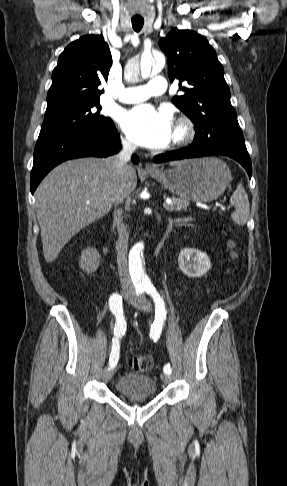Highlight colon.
<instances>
[{
	"mask_svg": "<svg viewBox=\"0 0 287 486\" xmlns=\"http://www.w3.org/2000/svg\"><path fill=\"white\" fill-rule=\"evenodd\" d=\"M129 366L138 372H147L153 366V361L149 356H134L128 360Z\"/></svg>",
	"mask_w": 287,
	"mask_h": 486,
	"instance_id": "colon-1",
	"label": "colon"
}]
</instances>
